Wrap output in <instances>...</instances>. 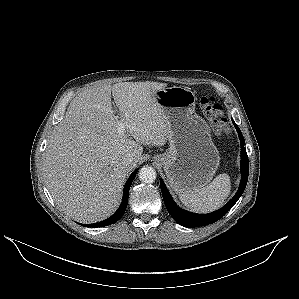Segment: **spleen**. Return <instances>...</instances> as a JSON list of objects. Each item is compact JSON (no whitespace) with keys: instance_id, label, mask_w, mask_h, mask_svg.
I'll return each instance as SVG.
<instances>
[{"instance_id":"3e777b00","label":"spleen","mask_w":299,"mask_h":299,"mask_svg":"<svg viewBox=\"0 0 299 299\" xmlns=\"http://www.w3.org/2000/svg\"><path fill=\"white\" fill-rule=\"evenodd\" d=\"M231 190V182L228 174H219L207 186L194 191H186L179 194L181 202L191 211L196 213H208L220 208Z\"/></svg>"}]
</instances>
